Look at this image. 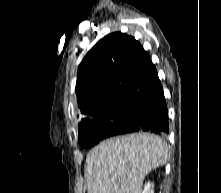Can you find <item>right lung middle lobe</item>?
<instances>
[{
	"mask_svg": "<svg viewBox=\"0 0 221 193\" xmlns=\"http://www.w3.org/2000/svg\"><path fill=\"white\" fill-rule=\"evenodd\" d=\"M148 109V100L121 99L100 108L79 123V143L84 148L114 136L138 120Z\"/></svg>",
	"mask_w": 221,
	"mask_h": 193,
	"instance_id": "obj_1",
	"label": "right lung middle lobe"
}]
</instances>
